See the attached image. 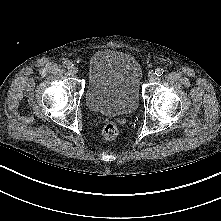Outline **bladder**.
<instances>
[{"label":"bladder","instance_id":"obj_1","mask_svg":"<svg viewBox=\"0 0 221 221\" xmlns=\"http://www.w3.org/2000/svg\"><path fill=\"white\" fill-rule=\"evenodd\" d=\"M142 68L129 53L115 49L96 51L89 59L85 100L103 115H125L139 104Z\"/></svg>","mask_w":221,"mask_h":221}]
</instances>
